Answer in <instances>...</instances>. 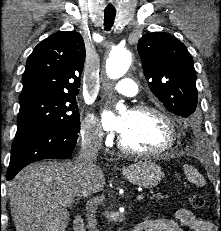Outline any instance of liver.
I'll list each match as a JSON object with an SVG mask.
<instances>
[{
    "label": "liver",
    "mask_w": 221,
    "mask_h": 231,
    "mask_svg": "<svg viewBox=\"0 0 221 231\" xmlns=\"http://www.w3.org/2000/svg\"><path fill=\"white\" fill-rule=\"evenodd\" d=\"M104 185L95 163L86 168L76 161H48L25 167L8 183L16 231H65L71 204L64 202L100 192Z\"/></svg>",
    "instance_id": "liver-1"
}]
</instances>
